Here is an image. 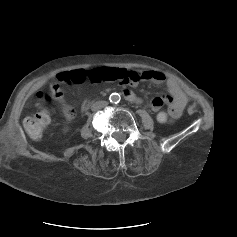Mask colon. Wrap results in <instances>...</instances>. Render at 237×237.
Wrapping results in <instances>:
<instances>
[{"label": "colon", "mask_w": 237, "mask_h": 237, "mask_svg": "<svg viewBox=\"0 0 237 237\" xmlns=\"http://www.w3.org/2000/svg\"><path fill=\"white\" fill-rule=\"evenodd\" d=\"M86 81L92 83L108 81L117 82L122 85H134L139 81V75L137 72L121 68L103 67L92 70L78 69L58 74L56 81L51 84L49 92L55 97H60L66 86L78 85L85 83ZM37 98L39 101H47L49 96L45 92H38ZM37 108L38 110L34 115L27 117L24 120V128L28 135L33 139L41 137L44 128L50 122L49 111L44 108L41 103H37ZM66 111L73 113V108L67 106ZM156 118L159 123L167 124L171 121L172 115L169 111H160L157 113Z\"/></svg>", "instance_id": "1"}]
</instances>
